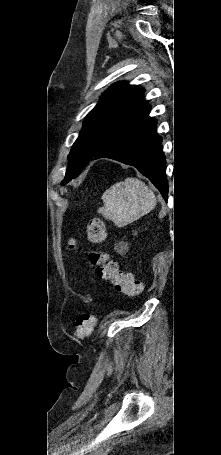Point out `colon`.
Masks as SVG:
<instances>
[{
    "label": "colon",
    "instance_id": "colon-1",
    "mask_svg": "<svg viewBox=\"0 0 221 455\" xmlns=\"http://www.w3.org/2000/svg\"><path fill=\"white\" fill-rule=\"evenodd\" d=\"M87 235L94 244H102L105 240V225L102 219L93 217L87 224ZM69 247L73 249L74 240L69 241ZM89 262L96 269L98 278L109 281L116 291L127 296H137L143 290V284L132 274L119 270L116 261L101 250H92L88 255ZM95 326V318L91 313H81L75 322V336L83 339L91 334Z\"/></svg>",
    "mask_w": 221,
    "mask_h": 455
}]
</instances>
